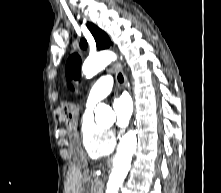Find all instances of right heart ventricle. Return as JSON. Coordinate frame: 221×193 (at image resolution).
Listing matches in <instances>:
<instances>
[{
	"label": "right heart ventricle",
	"instance_id": "1",
	"mask_svg": "<svg viewBox=\"0 0 221 193\" xmlns=\"http://www.w3.org/2000/svg\"><path fill=\"white\" fill-rule=\"evenodd\" d=\"M80 136L82 146L92 159L110 154L115 146L107 129L93 120L92 112L86 109L81 118Z\"/></svg>",
	"mask_w": 221,
	"mask_h": 193
}]
</instances>
